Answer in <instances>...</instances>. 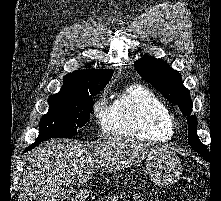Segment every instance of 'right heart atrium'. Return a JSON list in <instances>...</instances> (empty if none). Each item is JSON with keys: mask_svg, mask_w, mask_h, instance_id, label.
<instances>
[{"mask_svg": "<svg viewBox=\"0 0 221 201\" xmlns=\"http://www.w3.org/2000/svg\"><path fill=\"white\" fill-rule=\"evenodd\" d=\"M93 116L100 131L106 133L110 130V107L105 94L99 96L92 108Z\"/></svg>", "mask_w": 221, "mask_h": 201, "instance_id": "right-heart-atrium-1", "label": "right heart atrium"}]
</instances>
